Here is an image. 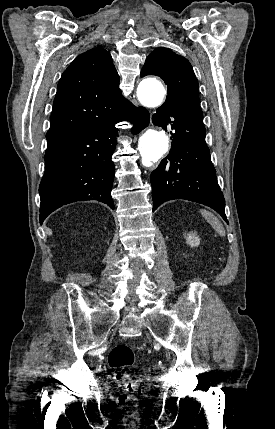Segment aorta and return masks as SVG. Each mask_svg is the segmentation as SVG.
Listing matches in <instances>:
<instances>
[{
    "label": "aorta",
    "instance_id": "762f6f07",
    "mask_svg": "<svg viewBox=\"0 0 275 429\" xmlns=\"http://www.w3.org/2000/svg\"><path fill=\"white\" fill-rule=\"evenodd\" d=\"M137 96L142 105L157 107L163 102L165 89L158 80L147 78L139 84ZM168 147L169 138L163 130L148 129L138 142L142 162L146 166L158 161L168 151Z\"/></svg>",
    "mask_w": 275,
    "mask_h": 429
}]
</instances>
